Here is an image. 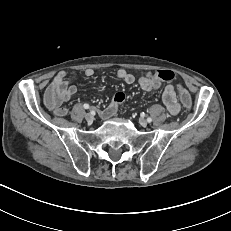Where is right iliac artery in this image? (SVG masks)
Listing matches in <instances>:
<instances>
[{
  "mask_svg": "<svg viewBox=\"0 0 231 231\" xmlns=\"http://www.w3.org/2000/svg\"><path fill=\"white\" fill-rule=\"evenodd\" d=\"M83 107H84L85 109H89L90 106H89V104H84Z\"/></svg>",
  "mask_w": 231,
  "mask_h": 231,
  "instance_id": "obj_1",
  "label": "right iliac artery"
}]
</instances>
